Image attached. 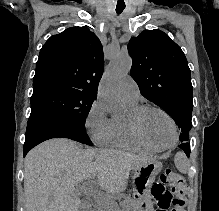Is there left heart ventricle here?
Returning <instances> with one entry per match:
<instances>
[{
	"instance_id": "obj_1",
	"label": "left heart ventricle",
	"mask_w": 219,
	"mask_h": 211,
	"mask_svg": "<svg viewBox=\"0 0 219 211\" xmlns=\"http://www.w3.org/2000/svg\"><path fill=\"white\" fill-rule=\"evenodd\" d=\"M142 128L147 138L156 146L173 143L174 131L168 118L158 111H147L142 118Z\"/></svg>"
}]
</instances>
